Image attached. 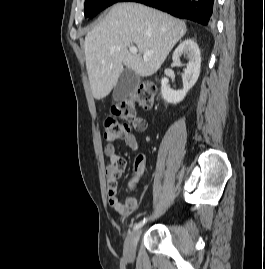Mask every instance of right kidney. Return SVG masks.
Masks as SVG:
<instances>
[{
    "mask_svg": "<svg viewBox=\"0 0 265 269\" xmlns=\"http://www.w3.org/2000/svg\"><path fill=\"white\" fill-rule=\"evenodd\" d=\"M185 55L189 60L182 77L183 89L174 91L168 85L167 78L161 79V95L167 103L176 104L181 102L187 92L195 85L200 75L201 55L198 45L192 39H186L175 49L172 60L180 63V58Z\"/></svg>",
    "mask_w": 265,
    "mask_h": 269,
    "instance_id": "1",
    "label": "right kidney"
}]
</instances>
